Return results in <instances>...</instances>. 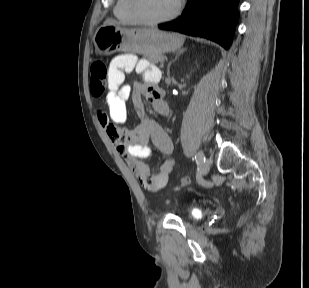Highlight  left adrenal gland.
Instances as JSON below:
<instances>
[{
    "mask_svg": "<svg viewBox=\"0 0 309 288\" xmlns=\"http://www.w3.org/2000/svg\"><path fill=\"white\" fill-rule=\"evenodd\" d=\"M185 51H186V48L179 50V51L177 52V54H176L174 60H172V61L169 62L168 67H167V74H168V75H169V73H170V66H171L172 62H174V61H175L182 53H184Z\"/></svg>",
    "mask_w": 309,
    "mask_h": 288,
    "instance_id": "left-adrenal-gland-1",
    "label": "left adrenal gland"
}]
</instances>
